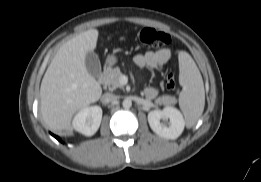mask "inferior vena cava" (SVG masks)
I'll return each instance as SVG.
<instances>
[{"instance_id":"inferior-vena-cava-1","label":"inferior vena cava","mask_w":261,"mask_h":182,"mask_svg":"<svg viewBox=\"0 0 261 182\" xmlns=\"http://www.w3.org/2000/svg\"><path fill=\"white\" fill-rule=\"evenodd\" d=\"M101 100L105 103H110V102H114L115 100H117V96L112 93H105L101 97Z\"/></svg>"}]
</instances>
